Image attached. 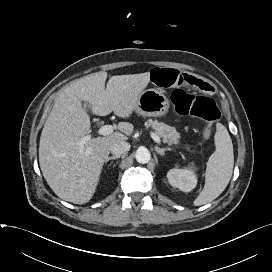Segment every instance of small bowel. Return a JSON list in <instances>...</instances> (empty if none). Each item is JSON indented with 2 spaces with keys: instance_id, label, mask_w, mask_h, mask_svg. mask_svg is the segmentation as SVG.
<instances>
[{
  "instance_id": "obj_1",
  "label": "small bowel",
  "mask_w": 272,
  "mask_h": 272,
  "mask_svg": "<svg viewBox=\"0 0 272 272\" xmlns=\"http://www.w3.org/2000/svg\"><path fill=\"white\" fill-rule=\"evenodd\" d=\"M151 79L163 88L191 87L201 91H209L212 88L209 83L176 69L155 68L151 72Z\"/></svg>"
}]
</instances>
